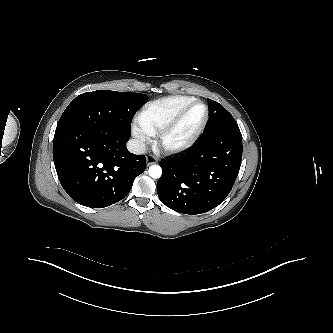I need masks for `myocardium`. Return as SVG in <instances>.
Wrapping results in <instances>:
<instances>
[{
    "instance_id": "1",
    "label": "myocardium",
    "mask_w": 333,
    "mask_h": 333,
    "mask_svg": "<svg viewBox=\"0 0 333 333\" xmlns=\"http://www.w3.org/2000/svg\"><path fill=\"white\" fill-rule=\"evenodd\" d=\"M196 105H202L205 110V114L201 122L197 125V127L184 139L180 141H172L171 137L177 128L180 126L188 112L195 107ZM209 120V108L208 106L200 101L194 100L184 106L175 116L174 118L157 133L156 138V147L164 154L172 155L178 154L186 151L190 147L194 145V143L198 140V138L203 133L207 123Z\"/></svg>"
}]
</instances>
